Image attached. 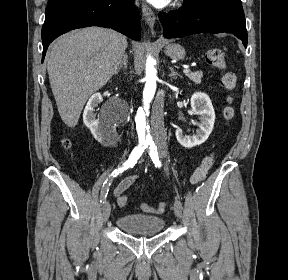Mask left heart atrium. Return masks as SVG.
<instances>
[{
    "mask_svg": "<svg viewBox=\"0 0 288 280\" xmlns=\"http://www.w3.org/2000/svg\"><path fill=\"white\" fill-rule=\"evenodd\" d=\"M148 1L157 7H163L170 2V0H148Z\"/></svg>",
    "mask_w": 288,
    "mask_h": 280,
    "instance_id": "1",
    "label": "left heart atrium"
}]
</instances>
